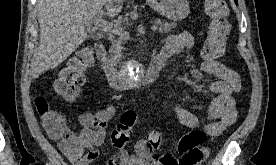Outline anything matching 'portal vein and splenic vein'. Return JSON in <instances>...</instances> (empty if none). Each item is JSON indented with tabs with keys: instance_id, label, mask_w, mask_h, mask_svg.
I'll use <instances>...</instances> for the list:
<instances>
[{
	"instance_id": "obj_1",
	"label": "portal vein and splenic vein",
	"mask_w": 276,
	"mask_h": 165,
	"mask_svg": "<svg viewBox=\"0 0 276 165\" xmlns=\"http://www.w3.org/2000/svg\"><path fill=\"white\" fill-rule=\"evenodd\" d=\"M101 15L102 14H98L93 19V23L96 28H99L105 32H112V33L122 36V37L127 34V32L123 31V29L118 24H114V23H111V22H108V21L102 19ZM87 26H89V23H87ZM157 29H158V26L156 24L152 25L151 30L156 31Z\"/></svg>"
}]
</instances>
